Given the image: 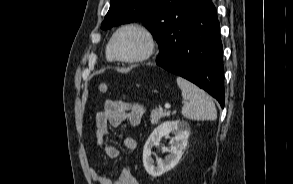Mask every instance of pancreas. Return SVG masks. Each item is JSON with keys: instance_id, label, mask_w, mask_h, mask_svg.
<instances>
[{"instance_id": "obj_1", "label": "pancreas", "mask_w": 293, "mask_h": 184, "mask_svg": "<svg viewBox=\"0 0 293 184\" xmlns=\"http://www.w3.org/2000/svg\"><path fill=\"white\" fill-rule=\"evenodd\" d=\"M170 116V111H164L160 109H153L150 115V121L152 124H157L161 118Z\"/></svg>"}]
</instances>
